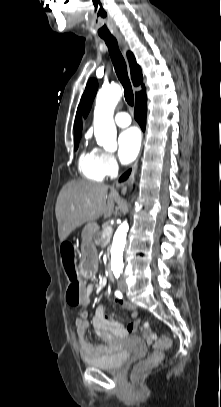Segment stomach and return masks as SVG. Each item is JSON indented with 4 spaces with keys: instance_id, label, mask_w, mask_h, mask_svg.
Segmentation results:
<instances>
[{
    "instance_id": "1",
    "label": "stomach",
    "mask_w": 221,
    "mask_h": 407,
    "mask_svg": "<svg viewBox=\"0 0 221 407\" xmlns=\"http://www.w3.org/2000/svg\"><path fill=\"white\" fill-rule=\"evenodd\" d=\"M97 260L93 250L82 249V255L79 263L80 274L88 278L90 277L96 268Z\"/></svg>"
}]
</instances>
